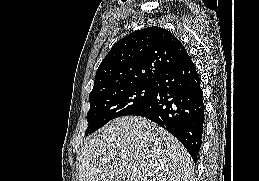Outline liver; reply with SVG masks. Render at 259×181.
<instances>
[{
	"mask_svg": "<svg viewBox=\"0 0 259 181\" xmlns=\"http://www.w3.org/2000/svg\"><path fill=\"white\" fill-rule=\"evenodd\" d=\"M186 148L143 117L116 118L80 150L77 181H193Z\"/></svg>",
	"mask_w": 259,
	"mask_h": 181,
	"instance_id": "6515ba94",
	"label": "liver"
}]
</instances>
